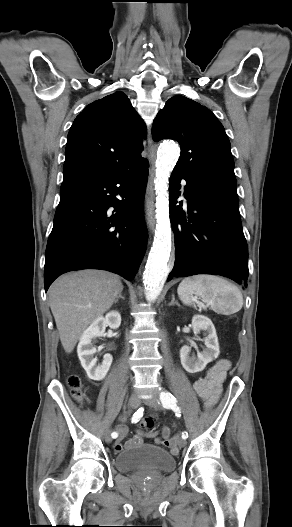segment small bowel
<instances>
[{"mask_svg":"<svg viewBox=\"0 0 292 527\" xmlns=\"http://www.w3.org/2000/svg\"><path fill=\"white\" fill-rule=\"evenodd\" d=\"M230 367V363L227 360H220L214 366H212L205 377L199 378L193 384L195 392L198 394L200 399L204 402L206 407L213 406L220 394L222 383L226 377L227 370ZM120 438L114 444V449L117 452L123 450L124 446L121 443L122 438L127 433V428L125 426H120L118 428ZM171 428L169 426H164L160 437L157 436V432L154 430H149L147 432L138 431L135 436L126 443V447H132L140 445L142 443V436L152 437L155 439L156 444H167L173 453H177V439L171 436Z\"/></svg>","mask_w":292,"mask_h":527,"instance_id":"small-bowel-1","label":"small bowel"}]
</instances>
